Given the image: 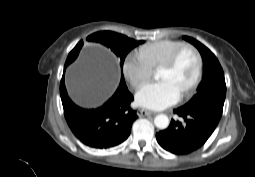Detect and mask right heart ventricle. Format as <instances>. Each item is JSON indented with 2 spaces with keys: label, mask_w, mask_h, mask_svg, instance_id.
I'll return each instance as SVG.
<instances>
[{
  "label": "right heart ventricle",
  "mask_w": 255,
  "mask_h": 177,
  "mask_svg": "<svg viewBox=\"0 0 255 177\" xmlns=\"http://www.w3.org/2000/svg\"><path fill=\"white\" fill-rule=\"evenodd\" d=\"M182 45L181 41L165 39L143 46L140 52L154 68L166 62Z\"/></svg>",
  "instance_id": "1"
}]
</instances>
